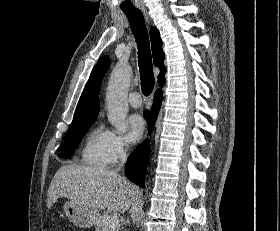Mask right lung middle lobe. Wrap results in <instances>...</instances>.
<instances>
[{
	"label": "right lung middle lobe",
	"mask_w": 280,
	"mask_h": 231,
	"mask_svg": "<svg viewBox=\"0 0 280 231\" xmlns=\"http://www.w3.org/2000/svg\"><path fill=\"white\" fill-rule=\"evenodd\" d=\"M93 123L94 121H90L70 127L62 145V151L59 154V157L70 158L74 154V151L80 143L81 139Z\"/></svg>",
	"instance_id": "dd1d6c3e"
}]
</instances>
